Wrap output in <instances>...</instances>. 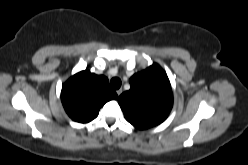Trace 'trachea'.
Here are the masks:
<instances>
[{"instance_id":"1","label":"trachea","mask_w":248,"mask_h":165,"mask_svg":"<svg viewBox=\"0 0 248 165\" xmlns=\"http://www.w3.org/2000/svg\"><path fill=\"white\" fill-rule=\"evenodd\" d=\"M121 84H122V82H121L120 78H117V77L112 78L110 81L111 87L115 90L119 89Z\"/></svg>"}]
</instances>
